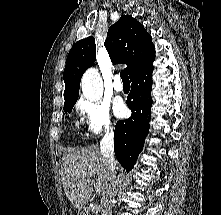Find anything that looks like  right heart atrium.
Listing matches in <instances>:
<instances>
[{
    "instance_id": "right-heart-atrium-1",
    "label": "right heart atrium",
    "mask_w": 221,
    "mask_h": 215,
    "mask_svg": "<svg viewBox=\"0 0 221 215\" xmlns=\"http://www.w3.org/2000/svg\"><path fill=\"white\" fill-rule=\"evenodd\" d=\"M76 110L84 121L88 135L98 136L112 130L110 109L104 102L81 97L76 103Z\"/></svg>"
}]
</instances>
